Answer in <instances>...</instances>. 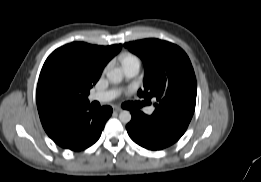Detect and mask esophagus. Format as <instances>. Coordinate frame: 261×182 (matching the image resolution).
Here are the masks:
<instances>
[{
    "mask_svg": "<svg viewBox=\"0 0 261 182\" xmlns=\"http://www.w3.org/2000/svg\"><path fill=\"white\" fill-rule=\"evenodd\" d=\"M113 110H114L115 112H117V113L122 111V109L119 108V107H114Z\"/></svg>",
    "mask_w": 261,
    "mask_h": 182,
    "instance_id": "34e87169",
    "label": "esophagus"
}]
</instances>
